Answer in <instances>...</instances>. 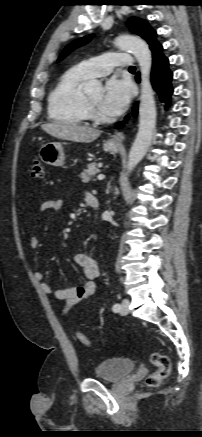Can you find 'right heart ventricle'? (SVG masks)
Returning <instances> with one entry per match:
<instances>
[{
	"label": "right heart ventricle",
	"mask_w": 202,
	"mask_h": 437,
	"mask_svg": "<svg viewBox=\"0 0 202 437\" xmlns=\"http://www.w3.org/2000/svg\"><path fill=\"white\" fill-rule=\"evenodd\" d=\"M78 67L66 71L48 96V115L52 120L83 124L89 118L81 83L88 79Z\"/></svg>",
	"instance_id": "e07e8e85"
}]
</instances>
